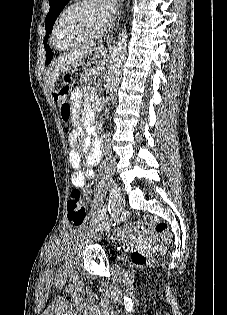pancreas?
<instances>
[{"mask_svg":"<svg viewBox=\"0 0 227 315\" xmlns=\"http://www.w3.org/2000/svg\"><path fill=\"white\" fill-rule=\"evenodd\" d=\"M94 69L90 68L85 70L82 74H81V78L83 79V82L88 83V84H93L96 80V77L98 76V72L97 74H94Z\"/></svg>","mask_w":227,"mask_h":315,"instance_id":"pancreas-1","label":"pancreas"}]
</instances>
